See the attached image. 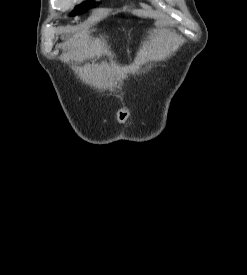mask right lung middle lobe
Returning <instances> with one entry per match:
<instances>
[{
	"mask_svg": "<svg viewBox=\"0 0 247 275\" xmlns=\"http://www.w3.org/2000/svg\"><path fill=\"white\" fill-rule=\"evenodd\" d=\"M93 4H95V2H92V1L84 2L81 5L76 6L75 10L72 12V14L73 15H75V14H81V13L85 12V10L89 9L90 7H92Z\"/></svg>",
	"mask_w": 247,
	"mask_h": 275,
	"instance_id": "right-lung-middle-lobe-1",
	"label": "right lung middle lobe"
}]
</instances>
